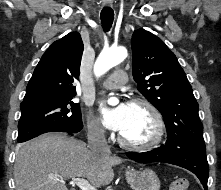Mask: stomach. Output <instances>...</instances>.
Instances as JSON below:
<instances>
[{
  "mask_svg": "<svg viewBox=\"0 0 221 190\" xmlns=\"http://www.w3.org/2000/svg\"><path fill=\"white\" fill-rule=\"evenodd\" d=\"M125 175L133 190H159L160 188L159 178L151 169L140 171L128 169Z\"/></svg>",
  "mask_w": 221,
  "mask_h": 190,
  "instance_id": "obj_1",
  "label": "stomach"
}]
</instances>
